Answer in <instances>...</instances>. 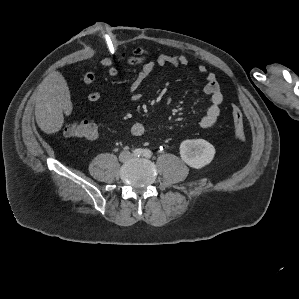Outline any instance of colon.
Returning a JSON list of instances; mask_svg holds the SVG:
<instances>
[{"label": "colon", "instance_id": "5ec220e1", "mask_svg": "<svg viewBox=\"0 0 299 299\" xmlns=\"http://www.w3.org/2000/svg\"><path fill=\"white\" fill-rule=\"evenodd\" d=\"M232 116L233 134L236 139L243 140L245 138L244 116L237 105L232 106ZM98 131V125L88 120L68 122L63 127L65 136L80 139H94L98 135Z\"/></svg>", "mask_w": 299, "mask_h": 299}]
</instances>
